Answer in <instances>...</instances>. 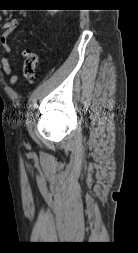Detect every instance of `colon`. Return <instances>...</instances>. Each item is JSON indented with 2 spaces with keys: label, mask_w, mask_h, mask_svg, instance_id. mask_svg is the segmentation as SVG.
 Returning <instances> with one entry per match:
<instances>
[{
  "label": "colon",
  "mask_w": 138,
  "mask_h": 253,
  "mask_svg": "<svg viewBox=\"0 0 138 253\" xmlns=\"http://www.w3.org/2000/svg\"><path fill=\"white\" fill-rule=\"evenodd\" d=\"M39 61V56L36 53L26 51L23 65V77L27 81H31L36 76Z\"/></svg>",
  "instance_id": "1"
}]
</instances>
